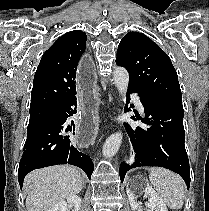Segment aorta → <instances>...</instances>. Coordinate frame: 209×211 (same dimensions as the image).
<instances>
[{
	"label": "aorta",
	"instance_id": "obj_1",
	"mask_svg": "<svg viewBox=\"0 0 209 211\" xmlns=\"http://www.w3.org/2000/svg\"><path fill=\"white\" fill-rule=\"evenodd\" d=\"M114 83L122 96H125L128 89L129 83V73L124 67H117L113 72ZM123 135L121 132H116L110 135L104 146H103V155L105 157L114 156L120 148L122 143Z\"/></svg>",
	"mask_w": 209,
	"mask_h": 211
}]
</instances>
